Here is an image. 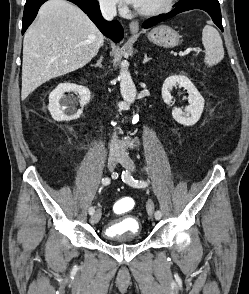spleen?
Returning a JSON list of instances; mask_svg holds the SVG:
<instances>
[{
  "label": "spleen",
  "mask_w": 249,
  "mask_h": 294,
  "mask_svg": "<svg viewBox=\"0 0 249 294\" xmlns=\"http://www.w3.org/2000/svg\"><path fill=\"white\" fill-rule=\"evenodd\" d=\"M202 43L205 48L204 62L209 67L218 64L224 58L223 42L218 31L206 25L202 32Z\"/></svg>",
  "instance_id": "obj_1"
}]
</instances>
